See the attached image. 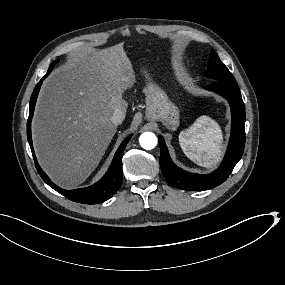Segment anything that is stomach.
I'll return each instance as SVG.
<instances>
[{"label": "stomach", "mask_w": 285, "mask_h": 285, "mask_svg": "<svg viewBox=\"0 0 285 285\" xmlns=\"http://www.w3.org/2000/svg\"><path fill=\"white\" fill-rule=\"evenodd\" d=\"M148 78V75H146ZM146 98V118L149 121H160L171 130L179 126V109L169 100L166 92L158 85L148 82L143 89Z\"/></svg>", "instance_id": "obj_1"}]
</instances>
